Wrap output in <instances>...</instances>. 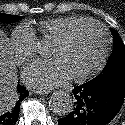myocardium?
<instances>
[{
  "label": "myocardium",
  "mask_w": 125,
  "mask_h": 125,
  "mask_svg": "<svg viewBox=\"0 0 125 125\" xmlns=\"http://www.w3.org/2000/svg\"><path fill=\"white\" fill-rule=\"evenodd\" d=\"M87 25H94L103 33L104 46L98 63L91 70L81 75L72 76V79L76 82H84L96 76L104 68L109 57L110 46H111V36L109 30L97 20L86 19L84 21H81L79 23L70 26L53 41V43L64 44L72 37V35L75 33L76 30Z\"/></svg>",
  "instance_id": "myocardium-1"
}]
</instances>
